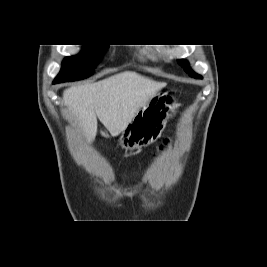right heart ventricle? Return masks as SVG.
Returning <instances> with one entry per match:
<instances>
[{
  "mask_svg": "<svg viewBox=\"0 0 267 267\" xmlns=\"http://www.w3.org/2000/svg\"><path fill=\"white\" fill-rule=\"evenodd\" d=\"M137 58H138L140 61H145V60H146L145 56L142 55V54H137Z\"/></svg>",
  "mask_w": 267,
  "mask_h": 267,
  "instance_id": "obj_1",
  "label": "right heart ventricle"
}]
</instances>
